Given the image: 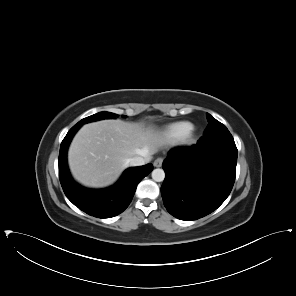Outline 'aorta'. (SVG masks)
<instances>
[{
  "label": "aorta",
  "instance_id": "aorta-1",
  "mask_svg": "<svg viewBox=\"0 0 296 296\" xmlns=\"http://www.w3.org/2000/svg\"><path fill=\"white\" fill-rule=\"evenodd\" d=\"M165 178V172L163 169L157 168L152 171V179L156 182H162Z\"/></svg>",
  "mask_w": 296,
  "mask_h": 296
}]
</instances>
